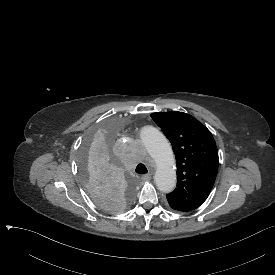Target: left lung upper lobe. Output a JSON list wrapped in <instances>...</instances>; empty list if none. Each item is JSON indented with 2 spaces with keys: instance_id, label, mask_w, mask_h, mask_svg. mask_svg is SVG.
Segmentation results:
<instances>
[{
  "instance_id": "5c2ea615",
  "label": "left lung upper lobe",
  "mask_w": 275,
  "mask_h": 275,
  "mask_svg": "<svg viewBox=\"0 0 275 275\" xmlns=\"http://www.w3.org/2000/svg\"><path fill=\"white\" fill-rule=\"evenodd\" d=\"M151 117L170 140L177 165V188L167 194L171 208L191 211L207 199L218 171V151L210 131L189 114L171 111Z\"/></svg>"
}]
</instances>
